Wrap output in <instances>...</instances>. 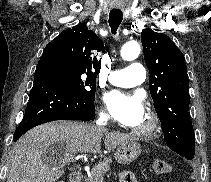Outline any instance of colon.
Masks as SVG:
<instances>
[{
  "label": "colon",
  "mask_w": 211,
  "mask_h": 182,
  "mask_svg": "<svg viewBox=\"0 0 211 182\" xmlns=\"http://www.w3.org/2000/svg\"><path fill=\"white\" fill-rule=\"evenodd\" d=\"M151 170L154 175L160 176V175L169 174L172 170V167L170 163L164 160H156L152 163ZM58 182H63V181H58Z\"/></svg>",
  "instance_id": "obj_1"
}]
</instances>
